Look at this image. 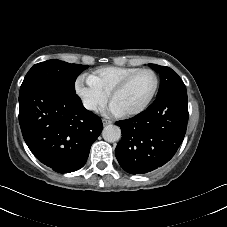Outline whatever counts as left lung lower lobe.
Wrapping results in <instances>:
<instances>
[{
  "label": "left lung lower lobe",
  "instance_id": "left-lung-lower-lobe-1",
  "mask_svg": "<svg viewBox=\"0 0 227 227\" xmlns=\"http://www.w3.org/2000/svg\"><path fill=\"white\" fill-rule=\"evenodd\" d=\"M187 92H169L135 117L117 121L122 138L115 154L130 174H143L167 163L181 145L188 123Z\"/></svg>",
  "mask_w": 227,
  "mask_h": 227
}]
</instances>
